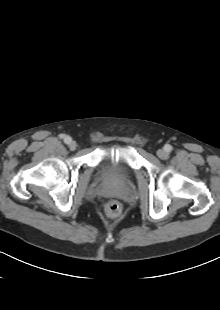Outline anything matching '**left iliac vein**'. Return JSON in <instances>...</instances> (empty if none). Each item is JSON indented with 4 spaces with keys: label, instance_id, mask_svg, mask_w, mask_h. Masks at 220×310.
I'll use <instances>...</instances> for the list:
<instances>
[{
    "label": "left iliac vein",
    "instance_id": "1",
    "mask_svg": "<svg viewBox=\"0 0 220 310\" xmlns=\"http://www.w3.org/2000/svg\"><path fill=\"white\" fill-rule=\"evenodd\" d=\"M157 156L160 158V159H167L169 157L168 153L163 150V149H159L157 151Z\"/></svg>",
    "mask_w": 220,
    "mask_h": 310
}]
</instances>
